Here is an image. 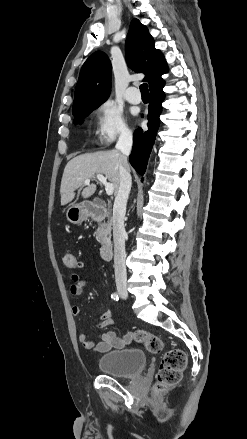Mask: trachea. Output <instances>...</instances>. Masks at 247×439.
<instances>
[{"instance_id":"1","label":"trachea","mask_w":247,"mask_h":439,"mask_svg":"<svg viewBox=\"0 0 247 439\" xmlns=\"http://www.w3.org/2000/svg\"><path fill=\"white\" fill-rule=\"evenodd\" d=\"M140 91L142 96H149L148 85L146 83L140 85Z\"/></svg>"}]
</instances>
